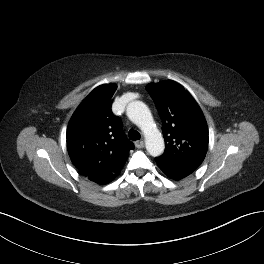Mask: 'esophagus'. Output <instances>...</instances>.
Returning <instances> with one entry per match:
<instances>
[{
  "label": "esophagus",
  "mask_w": 264,
  "mask_h": 264,
  "mask_svg": "<svg viewBox=\"0 0 264 264\" xmlns=\"http://www.w3.org/2000/svg\"><path fill=\"white\" fill-rule=\"evenodd\" d=\"M135 146L137 148H143L144 147V141L143 140H138L135 142Z\"/></svg>",
  "instance_id": "34e87169"
}]
</instances>
